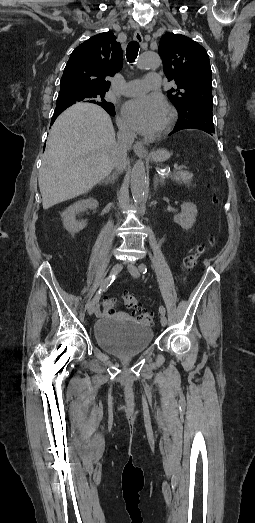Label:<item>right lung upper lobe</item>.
Returning a JSON list of instances; mask_svg holds the SVG:
<instances>
[{"label": "right lung upper lobe", "mask_w": 255, "mask_h": 523, "mask_svg": "<svg viewBox=\"0 0 255 523\" xmlns=\"http://www.w3.org/2000/svg\"><path fill=\"white\" fill-rule=\"evenodd\" d=\"M122 63L123 52L116 36L110 31L95 35L71 53L60 81V90L80 89L105 93L110 87L106 77H112L118 72ZM74 103H57L51 122ZM94 103L103 107L110 115H115L112 103L105 100Z\"/></svg>", "instance_id": "right-lung-upper-lobe-1"}]
</instances>
